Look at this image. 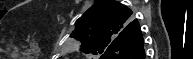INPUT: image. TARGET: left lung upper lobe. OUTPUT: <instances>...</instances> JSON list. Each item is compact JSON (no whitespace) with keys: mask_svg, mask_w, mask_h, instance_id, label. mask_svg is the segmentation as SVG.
<instances>
[{"mask_svg":"<svg viewBox=\"0 0 193 59\" xmlns=\"http://www.w3.org/2000/svg\"><path fill=\"white\" fill-rule=\"evenodd\" d=\"M133 12L119 2L97 0L77 21L70 37L81 42V50L93 55L104 54L122 36L132 22Z\"/></svg>","mask_w":193,"mask_h":59,"instance_id":"left-lung-upper-lobe-1","label":"left lung upper lobe"}]
</instances>
